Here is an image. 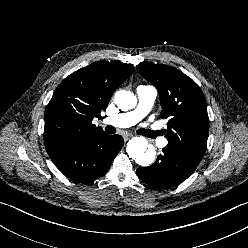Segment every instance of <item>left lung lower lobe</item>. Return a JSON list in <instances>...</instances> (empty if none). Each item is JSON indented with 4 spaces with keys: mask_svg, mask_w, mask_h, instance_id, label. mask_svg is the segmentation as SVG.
<instances>
[{
    "mask_svg": "<svg viewBox=\"0 0 248 248\" xmlns=\"http://www.w3.org/2000/svg\"><path fill=\"white\" fill-rule=\"evenodd\" d=\"M149 167L137 169V175L147 184L160 189L176 186L186 180L196 169L166 147Z\"/></svg>",
    "mask_w": 248,
    "mask_h": 248,
    "instance_id": "obj_1",
    "label": "left lung lower lobe"
}]
</instances>
